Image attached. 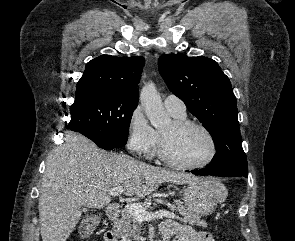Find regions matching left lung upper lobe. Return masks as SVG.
<instances>
[{
	"label": "left lung upper lobe",
	"mask_w": 295,
	"mask_h": 241,
	"mask_svg": "<svg viewBox=\"0 0 295 241\" xmlns=\"http://www.w3.org/2000/svg\"><path fill=\"white\" fill-rule=\"evenodd\" d=\"M158 65L170 91L185 103L213 138L217 152L208 167L247 176L236 97L217 62L179 53L161 55Z\"/></svg>",
	"instance_id": "5c2ea615"
}]
</instances>
